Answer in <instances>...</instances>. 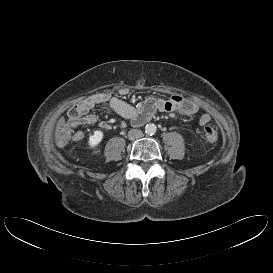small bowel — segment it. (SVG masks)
<instances>
[{
    "mask_svg": "<svg viewBox=\"0 0 273 273\" xmlns=\"http://www.w3.org/2000/svg\"><path fill=\"white\" fill-rule=\"evenodd\" d=\"M127 92L126 89L122 90V94H127ZM97 105L107 106L111 113L123 119L130 120L134 126L144 124L157 111L178 112L183 116H191L199 110L198 105L194 101L178 95H174L168 100L149 97L134 106L110 94H96L68 110L70 124L73 127H78L97 123V115L91 113V110ZM210 120L211 117L209 114H202L199 118V123L200 125H205ZM99 125L104 129L110 126L107 122H100ZM83 137L84 133L82 131H77L74 135L76 141L82 140Z\"/></svg>",
    "mask_w": 273,
    "mask_h": 273,
    "instance_id": "c3829d8e",
    "label": "small bowel"
}]
</instances>
